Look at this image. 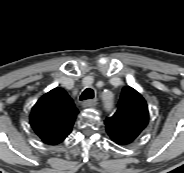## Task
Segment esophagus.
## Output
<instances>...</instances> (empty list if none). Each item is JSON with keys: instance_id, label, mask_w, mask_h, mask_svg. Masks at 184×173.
Masks as SVG:
<instances>
[{"instance_id": "esophagus-1", "label": "esophagus", "mask_w": 184, "mask_h": 173, "mask_svg": "<svg viewBox=\"0 0 184 173\" xmlns=\"http://www.w3.org/2000/svg\"><path fill=\"white\" fill-rule=\"evenodd\" d=\"M96 105H97V100H95V99L85 100V101L82 103V106H83L84 108L95 107Z\"/></svg>"}]
</instances>
